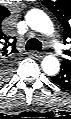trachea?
<instances>
[{"mask_svg": "<svg viewBox=\"0 0 71 119\" xmlns=\"http://www.w3.org/2000/svg\"><path fill=\"white\" fill-rule=\"evenodd\" d=\"M31 49L40 51L42 49V43L36 38H32L28 40L26 44V50H31Z\"/></svg>", "mask_w": 71, "mask_h": 119, "instance_id": "3493384b", "label": "trachea"}]
</instances>
